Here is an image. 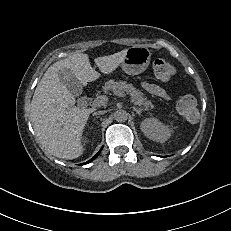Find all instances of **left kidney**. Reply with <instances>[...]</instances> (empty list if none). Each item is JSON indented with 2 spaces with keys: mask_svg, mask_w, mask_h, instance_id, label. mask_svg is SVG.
Returning <instances> with one entry per match:
<instances>
[{
  "mask_svg": "<svg viewBox=\"0 0 231 231\" xmlns=\"http://www.w3.org/2000/svg\"><path fill=\"white\" fill-rule=\"evenodd\" d=\"M141 131L150 140L163 143L171 136V129L156 118H146L140 125Z\"/></svg>",
  "mask_w": 231,
  "mask_h": 231,
  "instance_id": "left-kidney-1",
  "label": "left kidney"
}]
</instances>
